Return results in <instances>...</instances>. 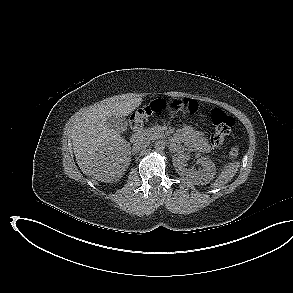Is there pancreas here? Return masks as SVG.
I'll return each instance as SVG.
<instances>
[{"instance_id":"1","label":"pancreas","mask_w":293,"mask_h":293,"mask_svg":"<svg viewBox=\"0 0 293 293\" xmlns=\"http://www.w3.org/2000/svg\"><path fill=\"white\" fill-rule=\"evenodd\" d=\"M143 136L149 140H155L158 138H164V131L161 126L155 125L151 128L144 129L142 132Z\"/></svg>"}]
</instances>
